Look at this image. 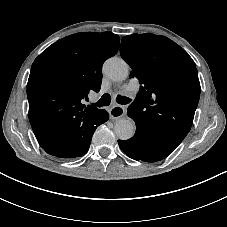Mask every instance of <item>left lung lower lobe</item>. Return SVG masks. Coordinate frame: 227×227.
I'll list each match as a JSON object with an SVG mask.
<instances>
[{
  "label": "left lung lower lobe",
  "mask_w": 227,
  "mask_h": 227,
  "mask_svg": "<svg viewBox=\"0 0 227 227\" xmlns=\"http://www.w3.org/2000/svg\"><path fill=\"white\" fill-rule=\"evenodd\" d=\"M121 150L130 158L145 162H156L166 158L174 150L153 141L144 132L137 129L129 140H118Z\"/></svg>",
  "instance_id": "1"
}]
</instances>
